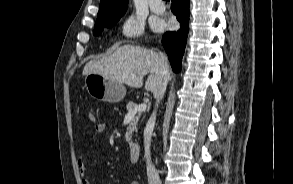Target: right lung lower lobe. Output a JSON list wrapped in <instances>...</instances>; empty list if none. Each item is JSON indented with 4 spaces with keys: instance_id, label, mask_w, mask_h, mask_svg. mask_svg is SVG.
I'll use <instances>...</instances> for the list:
<instances>
[{
    "instance_id": "right-lung-lower-lobe-1",
    "label": "right lung lower lobe",
    "mask_w": 293,
    "mask_h": 184,
    "mask_svg": "<svg viewBox=\"0 0 293 184\" xmlns=\"http://www.w3.org/2000/svg\"><path fill=\"white\" fill-rule=\"evenodd\" d=\"M171 10L180 22V29L176 32L165 33L162 38V44L173 71L178 73L181 71L182 57L189 29V0H172Z\"/></svg>"
}]
</instances>
